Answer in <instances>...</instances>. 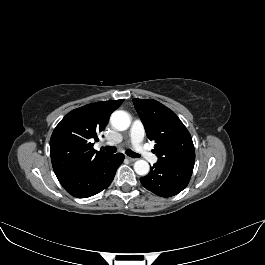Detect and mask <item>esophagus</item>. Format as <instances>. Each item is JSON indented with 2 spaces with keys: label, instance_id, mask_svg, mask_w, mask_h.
Listing matches in <instances>:
<instances>
[{
  "label": "esophagus",
  "instance_id": "34e87169",
  "mask_svg": "<svg viewBox=\"0 0 265 265\" xmlns=\"http://www.w3.org/2000/svg\"><path fill=\"white\" fill-rule=\"evenodd\" d=\"M127 158H128V160H129L130 162H134V161H136L135 158H132V157H127Z\"/></svg>",
  "mask_w": 265,
  "mask_h": 265
}]
</instances>
